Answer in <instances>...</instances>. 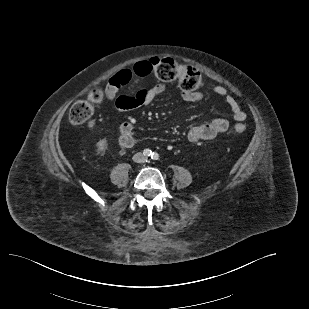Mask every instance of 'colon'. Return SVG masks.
<instances>
[{
  "instance_id": "obj_1",
  "label": "colon",
  "mask_w": 309,
  "mask_h": 309,
  "mask_svg": "<svg viewBox=\"0 0 309 309\" xmlns=\"http://www.w3.org/2000/svg\"><path fill=\"white\" fill-rule=\"evenodd\" d=\"M156 77L165 82H177L183 92L198 90L202 84L200 72L189 65L177 62L172 58H155L149 61ZM103 93L100 89L92 90L85 100L74 103L69 112V119L74 125H83L94 114L95 105L101 103ZM237 133H243L246 127L243 123L234 126Z\"/></svg>"
}]
</instances>
